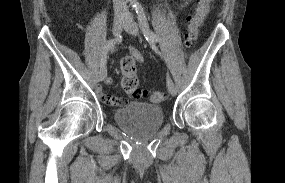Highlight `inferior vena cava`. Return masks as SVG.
Listing matches in <instances>:
<instances>
[{
  "label": "inferior vena cava",
  "instance_id": "obj_1",
  "mask_svg": "<svg viewBox=\"0 0 285 183\" xmlns=\"http://www.w3.org/2000/svg\"><path fill=\"white\" fill-rule=\"evenodd\" d=\"M113 6L116 17L128 15L126 0H113Z\"/></svg>",
  "mask_w": 285,
  "mask_h": 183
}]
</instances>
